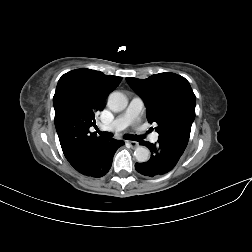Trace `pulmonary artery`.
Instances as JSON below:
<instances>
[{"instance_id": "pulmonary-artery-1", "label": "pulmonary artery", "mask_w": 252, "mask_h": 252, "mask_svg": "<svg viewBox=\"0 0 252 252\" xmlns=\"http://www.w3.org/2000/svg\"><path fill=\"white\" fill-rule=\"evenodd\" d=\"M144 106V102L140 97H133L127 109L119 115L110 125H100L103 131H119L132 124L135 119L140 115ZM158 140V134L152 135V141Z\"/></svg>"}]
</instances>
